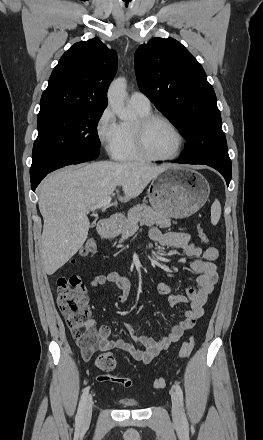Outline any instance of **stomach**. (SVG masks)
Masks as SVG:
<instances>
[{
	"label": "stomach",
	"instance_id": "obj_1",
	"mask_svg": "<svg viewBox=\"0 0 263 440\" xmlns=\"http://www.w3.org/2000/svg\"><path fill=\"white\" fill-rule=\"evenodd\" d=\"M209 194V184L200 173L188 167L174 166L152 181L148 197L158 213L183 219L196 213L206 203Z\"/></svg>",
	"mask_w": 263,
	"mask_h": 440
}]
</instances>
